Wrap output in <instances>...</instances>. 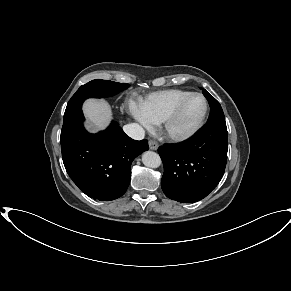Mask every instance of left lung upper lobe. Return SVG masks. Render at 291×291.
Listing matches in <instances>:
<instances>
[{
  "label": "left lung upper lobe",
  "instance_id": "obj_1",
  "mask_svg": "<svg viewBox=\"0 0 291 291\" xmlns=\"http://www.w3.org/2000/svg\"><path fill=\"white\" fill-rule=\"evenodd\" d=\"M202 93L204 94L210 105V116L207 124L225 122V116L219 102L205 89H202Z\"/></svg>",
  "mask_w": 291,
  "mask_h": 291
}]
</instances>
